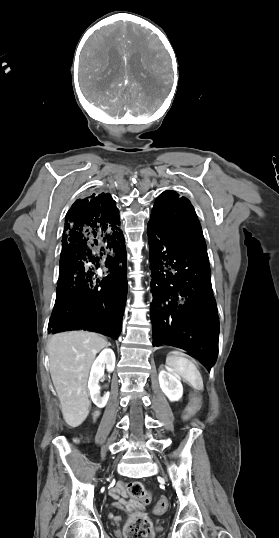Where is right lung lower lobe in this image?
Instances as JSON below:
<instances>
[{"mask_svg": "<svg viewBox=\"0 0 279 538\" xmlns=\"http://www.w3.org/2000/svg\"><path fill=\"white\" fill-rule=\"evenodd\" d=\"M110 194L76 200L66 214L55 306L48 333L100 331L117 337L127 298V254Z\"/></svg>", "mask_w": 279, "mask_h": 538, "instance_id": "98d812e1", "label": "right lung lower lobe"}]
</instances>
